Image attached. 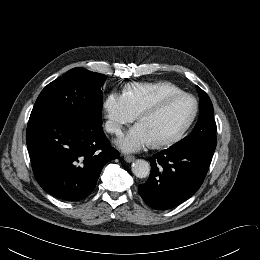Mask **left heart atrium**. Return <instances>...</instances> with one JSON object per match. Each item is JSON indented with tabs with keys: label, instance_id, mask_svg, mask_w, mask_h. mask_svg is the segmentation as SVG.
Here are the masks:
<instances>
[{
	"label": "left heart atrium",
	"instance_id": "1",
	"mask_svg": "<svg viewBox=\"0 0 260 260\" xmlns=\"http://www.w3.org/2000/svg\"><path fill=\"white\" fill-rule=\"evenodd\" d=\"M153 143V138L140 122L130 129L122 138L117 140L118 146L127 152L142 150L151 146Z\"/></svg>",
	"mask_w": 260,
	"mask_h": 260
}]
</instances>
